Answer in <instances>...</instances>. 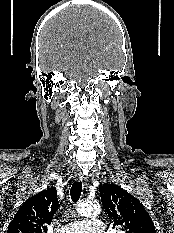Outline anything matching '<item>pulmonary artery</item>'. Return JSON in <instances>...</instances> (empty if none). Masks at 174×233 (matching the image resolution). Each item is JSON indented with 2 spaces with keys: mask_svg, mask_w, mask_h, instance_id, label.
<instances>
[{
  "mask_svg": "<svg viewBox=\"0 0 174 233\" xmlns=\"http://www.w3.org/2000/svg\"><path fill=\"white\" fill-rule=\"evenodd\" d=\"M105 228L102 220L93 218L63 225L58 229V233H107Z\"/></svg>",
  "mask_w": 174,
  "mask_h": 233,
  "instance_id": "obj_1",
  "label": "pulmonary artery"
}]
</instances>
